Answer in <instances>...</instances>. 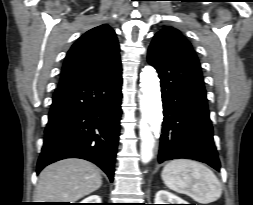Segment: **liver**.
Segmentation results:
<instances>
[{"instance_id":"6515ba94","label":"liver","mask_w":253,"mask_h":205,"mask_svg":"<svg viewBox=\"0 0 253 205\" xmlns=\"http://www.w3.org/2000/svg\"><path fill=\"white\" fill-rule=\"evenodd\" d=\"M102 185L99 169L86 160L66 159L47 166L39 175L38 202L74 203Z\"/></svg>"}]
</instances>
